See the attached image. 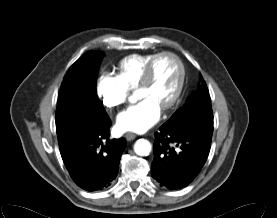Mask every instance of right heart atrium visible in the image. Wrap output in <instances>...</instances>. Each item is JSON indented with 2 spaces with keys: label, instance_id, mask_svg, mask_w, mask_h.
<instances>
[{
  "label": "right heart atrium",
  "instance_id": "1",
  "mask_svg": "<svg viewBox=\"0 0 277 218\" xmlns=\"http://www.w3.org/2000/svg\"><path fill=\"white\" fill-rule=\"evenodd\" d=\"M97 94L106 107L114 108L127 101L130 87L120 76L102 72L97 81Z\"/></svg>",
  "mask_w": 277,
  "mask_h": 218
}]
</instances>
